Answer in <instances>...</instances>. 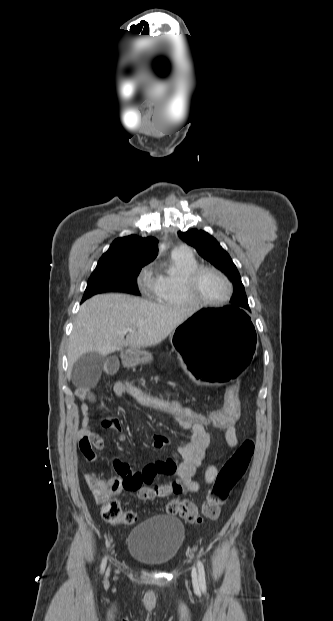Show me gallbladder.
I'll return each mask as SVG.
<instances>
[{
  "label": "gallbladder",
  "mask_w": 333,
  "mask_h": 621,
  "mask_svg": "<svg viewBox=\"0 0 333 621\" xmlns=\"http://www.w3.org/2000/svg\"><path fill=\"white\" fill-rule=\"evenodd\" d=\"M105 356L97 352H89L82 355L74 364L71 371V379L77 387H90L95 385L101 376Z\"/></svg>",
  "instance_id": "1"
}]
</instances>
